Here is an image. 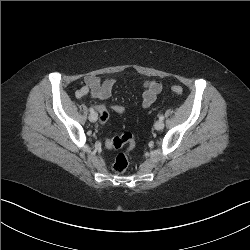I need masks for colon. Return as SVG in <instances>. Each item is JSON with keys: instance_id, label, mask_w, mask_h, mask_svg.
<instances>
[{"instance_id": "obj_1", "label": "colon", "mask_w": 250, "mask_h": 250, "mask_svg": "<svg viewBox=\"0 0 250 250\" xmlns=\"http://www.w3.org/2000/svg\"><path fill=\"white\" fill-rule=\"evenodd\" d=\"M171 90L177 95H181L183 93V89L179 85H173ZM112 110L115 114L121 117L124 115L126 109L120 104H112ZM108 119V110L106 107H103L100 110V123L105 124ZM99 141L107 150L125 148L123 152L117 154L112 165V169L116 174H123L129 164V154L135 147L134 135L130 132H126L119 136L109 138L108 135L103 134L100 136Z\"/></svg>"}]
</instances>
